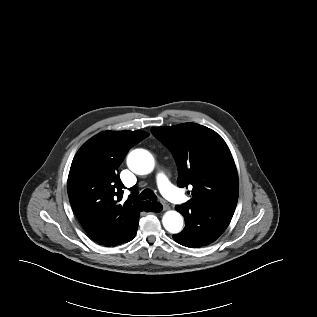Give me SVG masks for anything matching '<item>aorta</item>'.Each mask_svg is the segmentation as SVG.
I'll list each match as a JSON object with an SVG mask.
<instances>
[{"label": "aorta", "instance_id": "1", "mask_svg": "<svg viewBox=\"0 0 317 317\" xmlns=\"http://www.w3.org/2000/svg\"><path fill=\"white\" fill-rule=\"evenodd\" d=\"M127 165L131 171L139 175H146L153 171L155 160L153 155L145 149H135L127 156ZM164 228L176 234L182 230L183 218L177 211H167L162 218Z\"/></svg>", "mask_w": 317, "mask_h": 317}]
</instances>
